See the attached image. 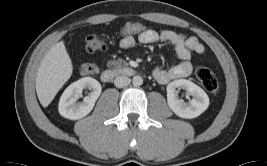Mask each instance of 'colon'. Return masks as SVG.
<instances>
[{"mask_svg":"<svg viewBox=\"0 0 267 166\" xmlns=\"http://www.w3.org/2000/svg\"><path fill=\"white\" fill-rule=\"evenodd\" d=\"M145 30V27L138 23H123L118 28V35L120 37H127L130 33H138ZM106 48L105 40L99 35L91 34L85 38V49L88 52L101 51ZM97 68L94 64L85 63L81 66L80 72L83 75H91L96 72ZM195 76L201 85L211 94L217 95L219 93V83L215 75L207 68L198 66L195 69Z\"/></svg>","mask_w":267,"mask_h":166,"instance_id":"1","label":"colon"}]
</instances>
